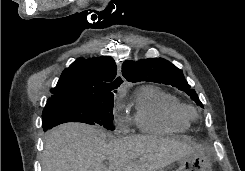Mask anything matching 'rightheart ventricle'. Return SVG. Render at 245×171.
I'll return each instance as SVG.
<instances>
[{
    "instance_id": "e07e8e85",
    "label": "right heart ventricle",
    "mask_w": 245,
    "mask_h": 171,
    "mask_svg": "<svg viewBox=\"0 0 245 171\" xmlns=\"http://www.w3.org/2000/svg\"><path fill=\"white\" fill-rule=\"evenodd\" d=\"M183 107L177 97L156 86L145 85L136 94L134 122L143 133L184 132L190 120L184 115Z\"/></svg>"
}]
</instances>
